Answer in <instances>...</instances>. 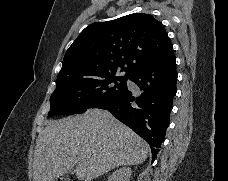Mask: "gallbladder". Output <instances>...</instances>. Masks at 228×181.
Segmentation results:
<instances>
[{"mask_svg": "<svg viewBox=\"0 0 228 181\" xmlns=\"http://www.w3.org/2000/svg\"><path fill=\"white\" fill-rule=\"evenodd\" d=\"M67 173H73V169H69V171H67Z\"/></svg>", "mask_w": 228, "mask_h": 181, "instance_id": "bac80fb5", "label": "gallbladder"}]
</instances>
